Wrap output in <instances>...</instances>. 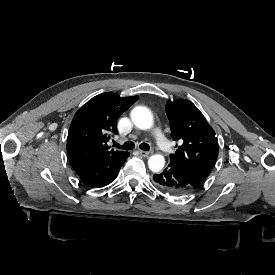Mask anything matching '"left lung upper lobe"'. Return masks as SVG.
<instances>
[{"label":"left lung upper lobe","instance_id":"left-lung-upper-lobe-1","mask_svg":"<svg viewBox=\"0 0 275 275\" xmlns=\"http://www.w3.org/2000/svg\"><path fill=\"white\" fill-rule=\"evenodd\" d=\"M176 153L170 155V166L197 188L210 174L218 156V139L203 114L189 100L166 103Z\"/></svg>","mask_w":275,"mask_h":275}]
</instances>
